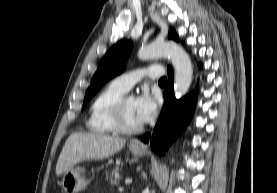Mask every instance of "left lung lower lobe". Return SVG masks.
<instances>
[{"label": "left lung lower lobe", "instance_id": "1", "mask_svg": "<svg viewBox=\"0 0 277 193\" xmlns=\"http://www.w3.org/2000/svg\"><path fill=\"white\" fill-rule=\"evenodd\" d=\"M164 99L165 104L151 139L152 149L161 155L165 154L171 142L185 129L190 121L196 102V91L177 100L174 96L173 72L168 67V82L164 89ZM149 136V133L144 135L142 141L147 143Z\"/></svg>", "mask_w": 277, "mask_h": 193}]
</instances>
